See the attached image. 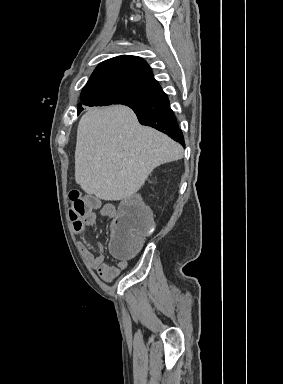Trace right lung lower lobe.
Wrapping results in <instances>:
<instances>
[{"mask_svg":"<svg viewBox=\"0 0 283 384\" xmlns=\"http://www.w3.org/2000/svg\"><path fill=\"white\" fill-rule=\"evenodd\" d=\"M130 108L136 113L142 125L153 127L185 146L182 131L170 108L169 99L162 89L152 103Z\"/></svg>","mask_w":283,"mask_h":384,"instance_id":"1","label":"right lung lower lobe"}]
</instances>
